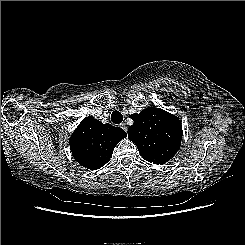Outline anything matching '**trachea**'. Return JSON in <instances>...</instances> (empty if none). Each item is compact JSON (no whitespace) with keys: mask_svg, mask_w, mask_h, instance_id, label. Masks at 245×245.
Here are the masks:
<instances>
[{"mask_svg":"<svg viewBox=\"0 0 245 245\" xmlns=\"http://www.w3.org/2000/svg\"><path fill=\"white\" fill-rule=\"evenodd\" d=\"M111 120L115 124H120L123 121V116L119 111H114L111 115Z\"/></svg>","mask_w":245,"mask_h":245,"instance_id":"trachea-1","label":"trachea"}]
</instances>
